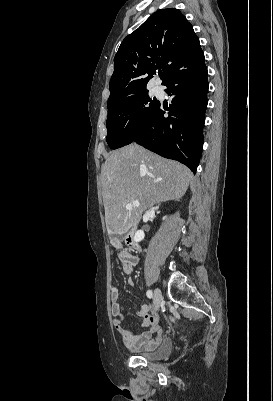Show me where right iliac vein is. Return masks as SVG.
Segmentation results:
<instances>
[{"label": "right iliac vein", "mask_w": 273, "mask_h": 401, "mask_svg": "<svg viewBox=\"0 0 273 401\" xmlns=\"http://www.w3.org/2000/svg\"><path fill=\"white\" fill-rule=\"evenodd\" d=\"M162 300V292L160 289H156L154 292V302H153V309L154 311H157Z\"/></svg>", "instance_id": "63e3f726"}]
</instances>
